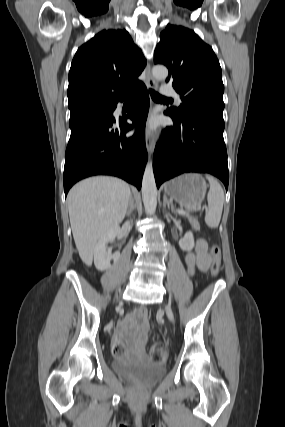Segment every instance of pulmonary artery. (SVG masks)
Masks as SVG:
<instances>
[{
    "label": "pulmonary artery",
    "instance_id": "obj_1",
    "mask_svg": "<svg viewBox=\"0 0 285 427\" xmlns=\"http://www.w3.org/2000/svg\"><path fill=\"white\" fill-rule=\"evenodd\" d=\"M161 93L164 97H172L175 98L177 102H180V97L172 86H163Z\"/></svg>",
    "mask_w": 285,
    "mask_h": 427
}]
</instances>
